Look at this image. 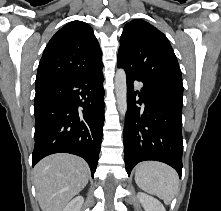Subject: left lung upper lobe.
<instances>
[{"label":"left lung upper lobe","instance_id":"1","mask_svg":"<svg viewBox=\"0 0 221 211\" xmlns=\"http://www.w3.org/2000/svg\"><path fill=\"white\" fill-rule=\"evenodd\" d=\"M117 63L145 81L183 90L181 70L168 39L148 22L132 20L125 25Z\"/></svg>","mask_w":221,"mask_h":211}]
</instances>
